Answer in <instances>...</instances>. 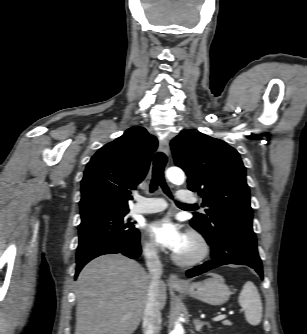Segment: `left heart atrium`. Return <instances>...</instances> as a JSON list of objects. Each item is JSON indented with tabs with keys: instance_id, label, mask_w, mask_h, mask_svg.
<instances>
[{
	"instance_id": "1",
	"label": "left heart atrium",
	"mask_w": 307,
	"mask_h": 334,
	"mask_svg": "<svg viewBox=\"0 0 307 334\" xmlns=\"http://www.w3.org/2000/svg\"><path fill=\"white\" fill-rule=\"evenodd\" d=\"M146 230L157 245L173 252H179L187 239V236L170 216H164L150 222Z\"/></svg>"
}]
</instances>
